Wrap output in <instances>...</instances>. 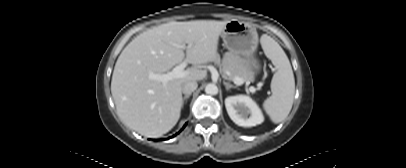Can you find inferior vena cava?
<instances>
[{"label":"inferior vena cava","instance_id":"obj_1","mask_svg":"<svg viewBox=\"0 0 406 168\" xmlns=\"http://www.w3.org/2000/svg\"><path fill=\"white\" fill-rule=\"evenodd\" d=\"M197 87H198V84L196 81H194V80L187 81L182 85V92L185 95H189L192 92H194L197 89Z\"/></svg>","mask_w":406,"mask_h":168}]
</instances>
